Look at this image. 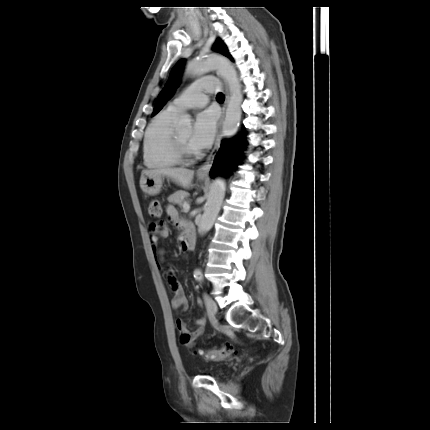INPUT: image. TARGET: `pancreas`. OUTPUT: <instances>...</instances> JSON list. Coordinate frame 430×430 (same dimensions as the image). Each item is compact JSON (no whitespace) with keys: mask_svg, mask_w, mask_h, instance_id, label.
<instances>
[{"mask_svg":"<svg viewBox=\"0 0 430 430\" xmlns=\"http://www.w3.org/2000/svg\"><path fill=\"white\" fill-rule=\"evenodd\" d=\"M188 196H189L188 192L183 191V190H178L174 194L170 195L167 200L169 202H173V203H176V204H179L180 206H182L183 199L187 198Z\"/></svg>","mask_w":430,"mask_h":430,"instance_id":"pancreas-1","label":"pancreas"}]
</instances>
